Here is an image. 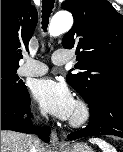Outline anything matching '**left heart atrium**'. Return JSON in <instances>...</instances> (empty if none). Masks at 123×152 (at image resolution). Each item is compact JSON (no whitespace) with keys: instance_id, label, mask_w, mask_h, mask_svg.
<instances>
[{"instance_id":"1","label":"left heart atrium","mask_w":123,"mask_h":152,"mask_svg":"<svg viewBox=\"0 0 123 152\" xmlns=\"http://www.w3.org/2000/svg\"><path fill=\"white\" fill-rule=\"evenodd\" d=\"M34 98L45 110L61 119L70 118L75 108V100L68 87L51 78L36 82Z\"/></svg>"}]
</instances>
